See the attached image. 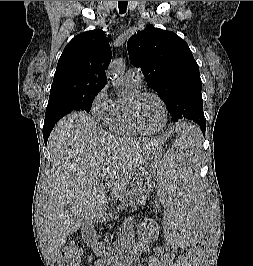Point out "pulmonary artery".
Masks as SVG:
<instances>
[{"mask_svg": "<svg viewBox=\"0 0 253 266\" xmlns=\"http://www.w3.org/2000/svg\"><path fill=\"white\" fill-rule=\"evenodd\" d=\"M125 80L127 83L141 85L142 84V73L137 69H128L125 74Z\"/></svg>", "mask_w": 253, "mask_h": 266, "instance_id": "e3ab8cb5", "label": "pulmonary artery"}]
</instances>
